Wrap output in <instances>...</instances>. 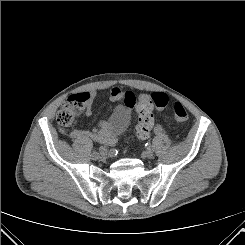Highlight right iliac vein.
I'll return each instance as SVG.
<instances>
[{
  "instance_id": "right-iliac-vein-1",
  "label": "right iliac vein",
  "mask_w": 245,
  "mask_h": 245,
  "mask_svg": "<svg viewBox=\"0 0 245 245\" xmlns=\"http://www.w3.org/2000/svg\"><path fill=\"white\" fill-rule=\"evenodd\" d=\"M91 157H92V159L97 160V159H99V158H101V157H104V156H102V155L99 154L98 152H93V153L91 154Z\"/></svg>"
}]
</instances>
